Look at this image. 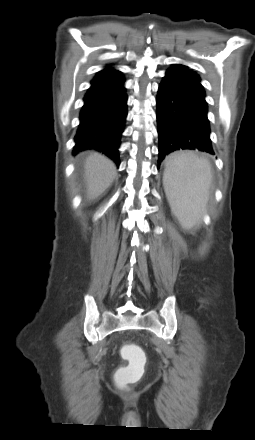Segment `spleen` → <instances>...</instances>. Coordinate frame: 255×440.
<instances>
[{"mask_svg": "<svg viewBox=\"0 0 255 440\" xmlns=\"http://www.w3.org/2000/svg\"><path fill=\"white\" fill-rule=\"evenodd\" d=\"M211 178L209 161L192 152H176L167 158L164 188L171 210L183 228L190 229L200 223Z\"/></svg>", "mask_w": 255, "mask_h": 440, "instance_id": "spleen-1", "label": "spleen"}]
</instances>
